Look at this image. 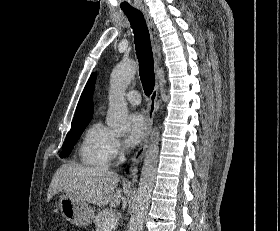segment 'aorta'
I'll use <instances>...</instances> for the list:
<instances>
[{
    "instance_id": "aorta-1",
    "label": "aorta",
    "mask_w": 280,
    "mask_h": 231,
    "mask_svg": "<svg viewBox=\"0 0 280 231\" xmlns=\"http://www.w3.org/2000/svg\"><path fill=\"white\" fill-rule=\"evenodd\" d=\"M137 70V62L127 60V62L117 64L110 76L109 110L106 123L116 131L117 135L127 133L130 129L128 106L124 96ZM158 155L159 131L154 129L145 153L128 231H143L144 219L150 205L151 193L155 181Z\"/></svg>"
}]
</instances>
